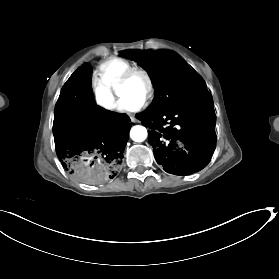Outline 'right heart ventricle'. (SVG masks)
Wrapping results in <instances>:
<instances>
[{"instance_id": "obj_1", "label": "right heart ventricle", "mask_w": 279, "mask_h": 279, "mask_svg": "<svg viewBox=\"0 0 279 279\" xmlns=\"http://www.w3.org/2000/svg\"><path fill=\"white\" fill-rule=\"evenodd\" d=\"M135 66L126 59L110 57L102 61L93 72V81L117 92V84L121 76Z\"/></svg>"}]
</instances>
